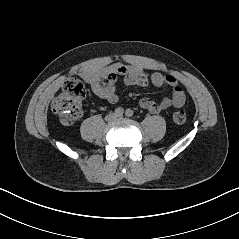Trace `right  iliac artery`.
<instances>
[{
  "label": "right iliac artery",
  "instance_id": "obj_1",
  "mask_svg": "<svg viewBox=\"0 0 239 239\" xmlns=\"http://www.w3.org/2000/svg\"><path fill=\"white\" fill-rule=\"evenodd\" d=\"M123 113H124V109H123V108L118 107V108L115 109V114H116V115L122 116Z\"/></svg>",
  "mask_w": 239,
  "mask_h": 239
}]
</instances>
